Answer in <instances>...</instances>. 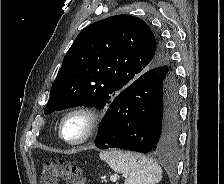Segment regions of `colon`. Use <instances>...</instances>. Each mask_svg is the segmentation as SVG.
Instances as JSON below:
<instances>
[{
    "mask_svg": "<svg viewBox=\"0 0 224 184\" xmlns=\"http://www.w3.org/2000/svg\"><path fill=\"white\" fill-rule=\"evenodd\" d=\"M85 184L81 169L66 160L46 162L42 165L40 184Z\"/></svg>",
    "mask_w": 224,
    "mask_h": 184,
    "instance_id": "obj_1",
    "label": "colon"
}]
</instances>
